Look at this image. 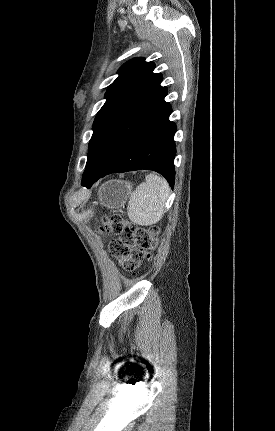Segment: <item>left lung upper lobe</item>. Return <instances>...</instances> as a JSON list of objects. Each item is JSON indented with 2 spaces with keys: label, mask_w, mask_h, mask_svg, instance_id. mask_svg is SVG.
Instances as JSON below:
<instances>
[{
  "label": "left lung upper lobe",
  "mask_w": 275,
  "mask_h": 431,
  "mask_svg": "<svg viewBox=\"0 0 275 431\" xmlns=\"http://www.w3.org/2000/svg\"><path fill=\"white\" fill-rule=\"evenodd\" d=\"M155 64L134 58L118 70L108 87L106 102L93 123L86 169L82 183L106 170L123 148L166 104L168 93L160 84L163 77L153 73Z\"/></svg>",
  "instance_id": "left-lung-upper-lobe-1"
}]
</instances>
